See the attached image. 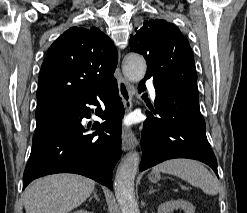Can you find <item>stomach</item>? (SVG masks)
<instances>
[{
  "mask_svg": "<svg viewBox=\"0 0 247 213\" xmlns=\"http://www.w3.org/2000/svg\"><path fill=\"white\" fill-rule=\"evenodd\" d=\"M149 180L153 183H156L160 180V175L158 173H151L149 176H148Z\"/></svg>",
  "mask_w": 247,
  "mask_h": 213,
  "instance_id": "obj_1",
  "label": "stomach"
}]
</instances>
